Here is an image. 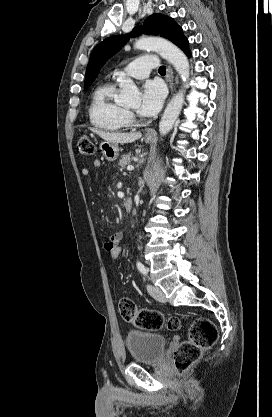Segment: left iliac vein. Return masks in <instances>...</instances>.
Wrapping results in <instances>:
<instances>
[{"label": "left iliac vein", "mask_w": 272, "mask_h": 417, "mask_svg": "<svg viewBox=\"0 0 272 417\" xmlns=\"http://www.w3.org/2000/svg\"><path fill=\"white\" fill-rule=\"evenodd\" d=\"M147 290H148L149 294L154 299H156L160 302H165L166 301V298H165V295H164L163 291L158 286L147 285Z\"/></svg>", "instance_id": "1"}]
</instances>
